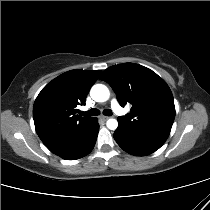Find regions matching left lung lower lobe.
<instances>
[{
  "label": "left lung lower lobe",
  "instance_id": "0a47b994",
  "mask_svg": "<svg viewBox=\"0 0 210 210\" xmlns=\"http://www.w3.org/2000/svg\"><path fill=\"white\" fill-rule=\"evenodd\" d=\"M114 139L124 151L135 156L149 155L166 141L164 138L128 132L119 126L114 132Z\"/></svg>",
  "mask_w": 210,
  "mask_h": 210
}]
</instances>
